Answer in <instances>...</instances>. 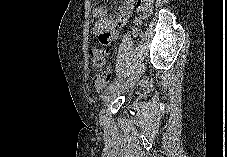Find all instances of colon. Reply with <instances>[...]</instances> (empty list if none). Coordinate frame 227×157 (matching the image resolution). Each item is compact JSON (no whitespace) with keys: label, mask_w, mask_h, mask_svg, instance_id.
<instances>
[{"label":"colon","mask_w":227,"mask_h":157,"mask_svg":"<svg viewBox=\"0 0 227 157\" xmlns=\"http://www.w3.org/2000/svg\"><path fill=\"white\" fill-rule=\"evenodd\" d=\"M154 0H137L136 3V24L141 20L148 18L153 11ZM92 66L95 69H102L106 62L105 51L99 48L91 50ZM109 82V74L107 72L95 76L93 85L98 92H102Z\"/></svg>","instance_id":"colon-1"}]
</instances>
